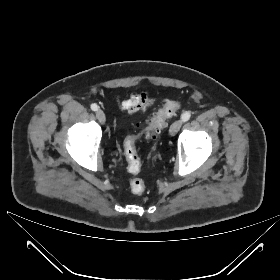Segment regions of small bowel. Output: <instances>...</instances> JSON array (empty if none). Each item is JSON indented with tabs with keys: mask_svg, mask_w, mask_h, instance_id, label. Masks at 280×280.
I'll list each match as a JSON object with an SVG mask.
<instances>
[{
	"mask_svg": "<svg viewBox=\"0 0 280 280\" xmlns=\"http://www.w3.org/2000/svg\"><path fill=\"white\" fill-rule=\"evenodd\" d=\"M154 102L148 90H142L129 95L127 99L117 100L119 108L128 114L144 113Z\"/></svg>",
	"mask_w": 280,
	"mask_h": 280,
	"instance_id": "small-bowel-1",
	"label": "small bowel"
}]
</instances>
